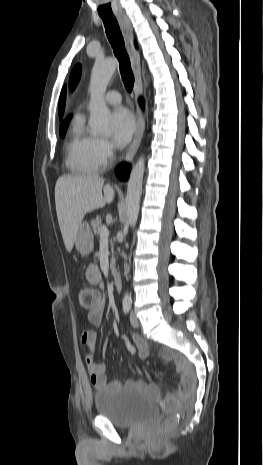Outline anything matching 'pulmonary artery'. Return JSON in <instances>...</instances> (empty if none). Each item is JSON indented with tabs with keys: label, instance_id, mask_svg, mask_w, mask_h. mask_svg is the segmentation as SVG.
<instances>
[{
	"label": "pulmonary artery",
	"instance_id": "1",
	"mask_svg": "<svg viewBox=\"0 0 263 465\" xmlns=\"http://www.w3.org/2000/svg\"><path fill=\"white\" fill-rule=\"evenodd\" d=\"M105 100L110 105H117L121 102V95L118 91H109L105 95Z\"/></svg>",
	"mask_w": 263,
	"mask_h": 465
}]
</instances>
